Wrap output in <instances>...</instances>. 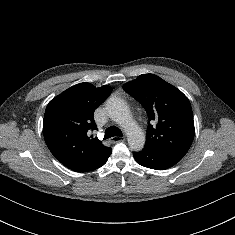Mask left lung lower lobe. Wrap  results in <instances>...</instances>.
<instances>
[{
  "instance_id": "obj_1",
  "label": "left lung lower lobe",
  "mask_w": 235,
  "mask_h": 235,
  "mask_svg": "<svg viewBox=\"0 0 235 235\" xmlns=\"http://www.w3.org/2000/svg\"><path fill=\"white\" fill-rule=\"evenodd\" d=\"M133 155L138 164L156 170L168 169L184 157L179 153L150 146H145L142 151L134 152Z\"/></svg>"
}]
</instances>
